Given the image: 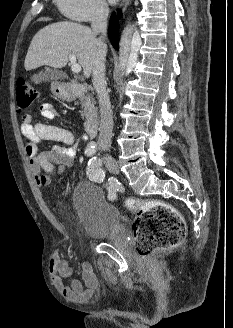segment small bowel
Instances as JSON below:
<instances>
[{
    "label": "small bowel",
    "instance_id": "obj_1",
    "mask_svg": "<svg viewBox=\"0 0 233 328\" xmlns=\"http://www.w3.org/2000/svg\"><path fill=\"white\" fill-rule=\"evenodd\" d=\"M42 118L53 120L57 117L54 107L50 103L40 105ZM20 131L25 140V151L30 160L36 184L39 187L48 186L52 179L72 164L75 156L73 134L64 128L50 124L32 122L31 115L23 116ZM88 136H83L87 140ZM41 141H54L62 145L55 146L49 152H39L38 144ZM50 272L56 289L70 301H84L89 299L98 284L91 264L85 262L81 266L82 280L72 277V270L67 261L61 258L58 252L51 255L49 262ZM70 278V283H64Z\"/></svg>",
    "mask_w": 233,
    "mask_h": 328
}]
</instances>
